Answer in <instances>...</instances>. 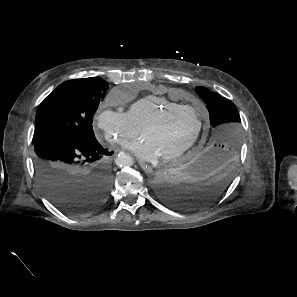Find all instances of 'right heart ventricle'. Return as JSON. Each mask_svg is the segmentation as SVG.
<instances>
[{
  "label": "right heart ventricle",
  "instance_id": "e07e8e85",
  "mask_svg": "<svg viewBox=\"0 0 297 297\" xmlns=\"http://www.w3.org/2000/svg\"><path fill=\"white\" fill-rule=\"evenodd\" d=\"M174 105H180V103L171 101L164 96L148 95L131 103L127 114L132 123L137 128H141L155 113Z\"/></svg>",
  "mask_w": 297,
  "mask_h": 297
}]
</instances>
